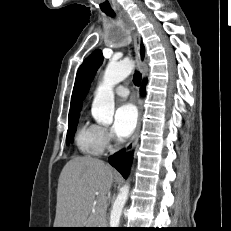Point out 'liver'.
I'll use <instances>...</instances> for the list:
<instances>
[{
	"label": "liver",
	"mask_w": 231,
	"mask_h": 231,
	"mask_svg": "<svg viewBox=\"0 0 231 231\" xmlns=\"http://www.w3.org/2000/svg\"><path fill=\"white\" fill-rule=\"evenodd\" d=\"M116 172L102 160L74 157L66 163L58 180L54 228L90 225L96 193L106 198Z\"/></svg>",
	"instance_id": "1"
}]
</instances>
